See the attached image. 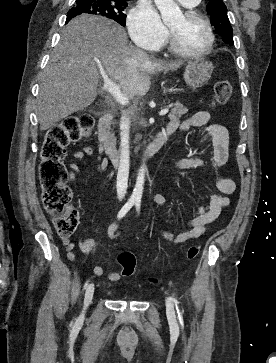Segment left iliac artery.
<instances>
[{
	"label": "left iliac artery",
	"mask_w": 276,
	"mask_h": 363,
	"mask_svg": "<svg viewBox=\"0 0 276 363\" xmlns=\"http://www.w3.org/2000/svg\"><path fill=\"white\" fill-rule=\"evenodd\" d=\"M135 205H136V210L139 211L140 210V200H137L135 202ZM171 300L175 303V305L177 307L178 299L176 297L172 296ZM177 313H178L179 320L181 321L182 313H180L178 309H177Z\"/></svg>",
	"instance_id": "44dca946"
}]
</instances>
